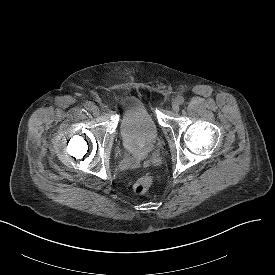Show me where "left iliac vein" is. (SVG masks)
Masks as SVG:
<instances>
[{"label": "left iliac vein", "instance_id": "left-iliac-vein-1", "mask_svg": "<svg viewBox=\"0 0 275 275\" xmlns=\"http://www.w3.org/2000/svg\"><path fill=\"white\" fill-rule=\"evenodd\" d=\"M172 109L175 112L179 111V102H178L177 98L172 101Z\"/></svg>", "mask_w": 275, "mask_h": 275}]
</instances>
